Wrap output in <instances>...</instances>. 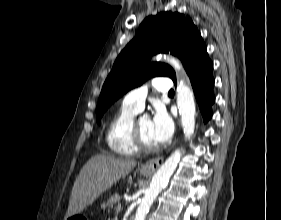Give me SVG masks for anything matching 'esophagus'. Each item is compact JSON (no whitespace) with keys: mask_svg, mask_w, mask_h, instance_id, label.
Segmentation results:
<instances>
[{"mask_svg":"<svg viewBox=\"0 0 281 220\" xmlns=\"http://www.w3.org/2000/svg\"><path fill=\"white\" fill-rule=\"evenodd\" d=\"M162 163L163 157L154 158L146 162L141 169L144 172L154 173Z\"/></svg>","mask_w":281,"mask_h":220,"instance_id":"esophagus-1","label":"esophagus"}]
</instances>
